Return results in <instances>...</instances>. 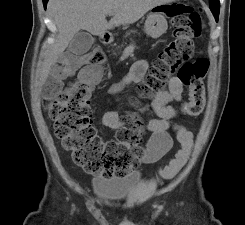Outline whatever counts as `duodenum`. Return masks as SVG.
I'll use <instances>...</instances> for the list:
<instances>
[{
  "label": "duodenum",
  "instance_id": "duodenum-1",
  "mask_svg": "<svg viewBox=\"0 0 245 225\" xmlns=\"http://www.w3.org/2000/svg\"><path fill=\"white\" fill-rule=\"evenodd\" d=\"M111 36L108 32L102 33L98 36V40L102 44H107L110 42Z\"/></svg>",
  "mask_w": 245,
  "mask_h": 225
}]
</instances>
